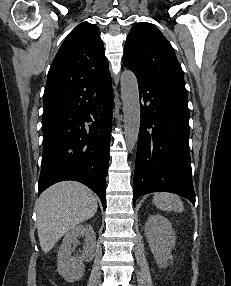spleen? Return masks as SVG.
<instances>
[{
  "label": "spleen",
  "mask_w": 231,
  "mask_h": 286,
  "mask_svg": "<svg viewBox=\"0 0 231 286\" xmlns=\"http://www.w3.org/2000/svg\"><path fill=\"white\" fill-rule=\"evenodd\" d=\"M153 204L163 211L183 212L184 205L180 197L173 193L160 192L153 196Z\"/></svg>",
  "instance_id": "1"
}]
</instances>
